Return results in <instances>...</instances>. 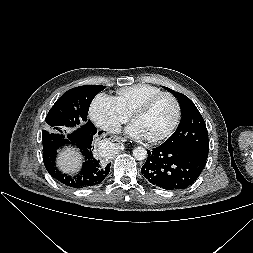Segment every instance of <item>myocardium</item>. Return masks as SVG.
<instances>
[{
    "instance_id": "myocardium-1",
    "label": "myocardium",
    "mask_w": 253,
    "mask_h": 253,
    "mask_svg": "<svg viewBox=\"0 0 253 253\" xmlns=\"http://www.w3.org/2000/svg\"><path fill=\"white\" fill-rule=\"evenodd\" d=\"M165 96L169 97L174 103L175 118H174V121L171 124V126L162 135H160L158 137L148 138L149 141L154 142V143L162 142V141L166 140L167 138H169L175 132V130L177 129V127L180 123L182 112H181L180 103H179L178 99L176 98V96L170 92L162 91V92L157 93V94L151 96L150 98L146 99L131 114V121L134 123V121L137 117L145 114L153 106V104L157 100H159L160 98L165 97Z\"/></svg>"
}]
</instances>
